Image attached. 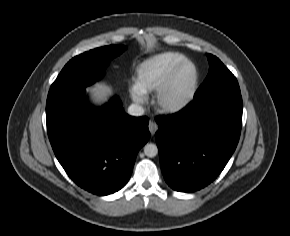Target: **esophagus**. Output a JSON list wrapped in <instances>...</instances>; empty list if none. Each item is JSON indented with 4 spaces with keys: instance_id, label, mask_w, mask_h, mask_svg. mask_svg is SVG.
Masks as SVG:
<instances>
[{
    "instance_id": "esophagus-1",
    "label": "esophagus",
    "mask_w": 290,
    "mask_h": 236,
    "mask_svg": "<svg viewBox=\"0 0 290 236\" xmlns=\"http://www.w3.org/2000/svg\"><path fill=\"white\" fill-rule=\"evenodd\" d=\"M148 127L151 135H154L158 130V125L154 121H150Z\"/></svg>"
}]
</instances>
